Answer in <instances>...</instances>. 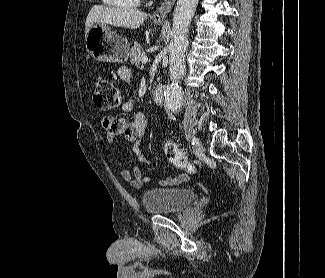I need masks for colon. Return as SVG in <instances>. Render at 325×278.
Instances as JSON below:
<instances>
[{"instance_id":"1","label":"colon","mask_w":325,"mask_h":278,"mask_svg":"<svg viewBox=\"0 0 325 278\" xmlns=\"http://www.w3.org/2000/svg\"><path fill=\"white\" fill-rule=\"evenodd\" d=\"M93 101L102 110H112L120 105L121 94L119 89L110 80L101 78L95 84ZM164 152L168 161L177 169L183 170L188 174L196 172V167L187 161L182 150L175 142L167 140L164 144Z\"/></svg>"}]
</instances>
